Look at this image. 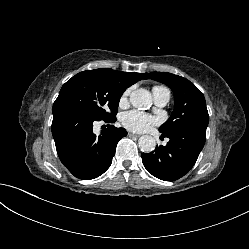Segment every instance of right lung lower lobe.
<instances>
[{"mask_svg": "<svg viewBox=\"0 0 249 249\" xmlns=\"http://www.w3.org/2000/svg\"><path fill=\"white\" fill-rule=\"evenodd\" d=\"M100 121L76 109L59 103L53 105L52 134L58 156L65 167L77 178L94 179L111 165L118 141L127 135L124 128L109 125L101 135L93 133V123Z\"/></svg>", "mask_w": 249, "mask_h": 249, "instance_id": "98d812e1", "label": "right lung lower lobe"}]
</instances>
